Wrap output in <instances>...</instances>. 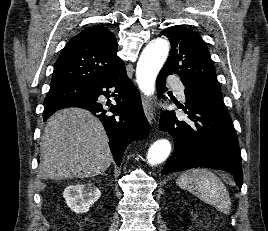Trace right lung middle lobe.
<instances>
[{
    "label": "right lung middle lobe",
    "instance_id": "obj_1",
    "mask_svg": "<svg viewBox=\"0 0 268 231\" xmlns=\"http://www.w3.org/2000/svg\"><path fill=\"white\" fill-rule=\"evenodd\" d=\"M88 95V88L85 86L60 84L51 85L50 90L46 96L44 104L70 101L74 99H82Z\"/></svg>",
    "mask_w": 268,
    "mask_h": 231
}]
</instances>
